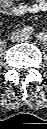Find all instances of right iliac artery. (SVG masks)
<instances>
[{
  "label": "right iliac artery",
  "mask_w": 47,
  "mask_h": 129,
  "mask_svg": "<svg viewBox=\"0 0 47 129\" xmlns=\"http://www.w3.org/2000/svg\"><path fill=\"white\" fill-rule=\"evenodd\" d=\"M27 33L31 34L33 32V28L32 27H26L24 29Z\"/></svg>",
  "instance_id": "1"
}]
</instances>
